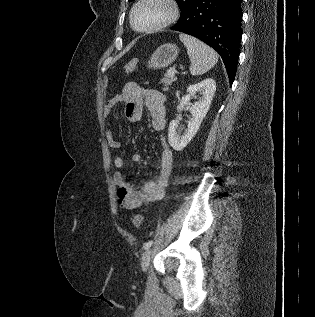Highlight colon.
I'll return each mask as SVG.
<instances>
[{
	"label": "colon",
	"instance_id": "1",
	"mask_svg": "<svg viewBox=\"0 0 315 317\" xmlns=\"http://www.w3.org/2000/svg\"><path fill=\"white\" fill-rule=\"evenodd\" d=\"M136 65H137V59H131L125 63L123 69L125 72L130 73L134 71ZM132 221H133V225L136 228H140L143 225V217L140 214L134 215Z\"/></svg>",
	"mask_w": 315,
	"mask_h": 317
}]
</instances>
